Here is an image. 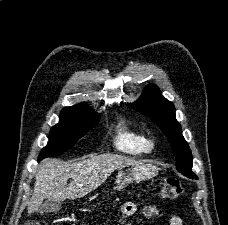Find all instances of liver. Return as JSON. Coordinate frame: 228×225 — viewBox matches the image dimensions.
<instances>
[{"mask_svg": "<svg viewBox=\"0 0 228 225\" xmlns=\"http://www.w3.org/2000/svg\"><path fill=\"white\" fill-rule=\"evenodd\" d=\"M137 161L122 155H98L79 163H60L57 159H45L39 165L35 177L34 193L28 205V215L38 211L44 199L65 201L81 199L98 189L116 169H124ZM72 177L70 185L68 179Z\"/></svg>", "mask_w": 228, "mask_h": 225, "instance_id": "liver-1", "label": "liver"}]
</instances>
